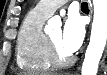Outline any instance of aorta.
<instances>
[{
  "mask_svg": "<svg viewBox=\"0 0 107 75\" xmlns=\"http://www.w3.org/2000/svg\"><path fill=\"white\" fill-rule=\"evenodd\" d=\"M94 19L81 75H96L107 43V0H93Z\"/></svg>",
  "mask_w": 107,
  "mask_h": 75,
  "instance_id": "obj_1",
  "label": "aorta"
}]
</instances>
